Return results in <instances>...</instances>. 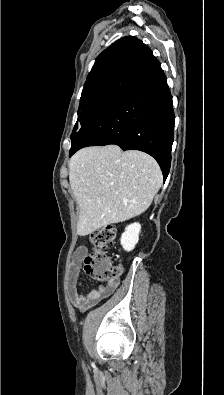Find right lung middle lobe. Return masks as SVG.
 Returning <instances> with one entry per match:
<instances>
[{
    "mask_svg": "<svg viewBox=\"0 0 224 395\" xmlns=\"http://www.w3.org/2000/svg\"><path fill=\"white\" fill-rule=\"evenodd\" d=\"M119 74L120 70L112 71L85 83L80 99L78 121L71 134L72 145L79 138L90 117L112 89Z\"/></svg>",
    "mask_w": 224,
    "mask_h": 395,
    "instance_id": "1",
    "label": "right lung middle lobe"
}]
</instances>
